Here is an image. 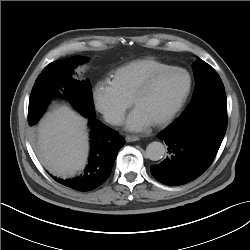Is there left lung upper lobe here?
I'll return each mask as SVG.
<instances>
[{"label": "left lung upper lobe", "instance_id": "1", "mask_svg": "<svg viewBox=\"0 0 250 250\" xmlns=\"http://www.w3.org/2000/svg\"><path fill=\"white\" fill-rule=\"evenodd\" d=\"M195 89L193 99L186 110L195 107L204 99L216 93L225 92L221 78L206 62L197 58L193 64Z\"/></svg>", "mask_w": 250, "mask_h": 250}]
</instances>
